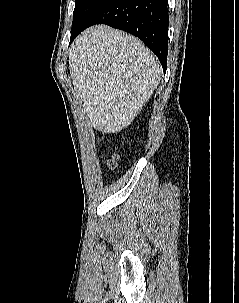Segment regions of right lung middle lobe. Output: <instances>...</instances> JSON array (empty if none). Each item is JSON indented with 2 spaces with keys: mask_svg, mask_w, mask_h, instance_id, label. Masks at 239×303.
<instances>
[{
  "mask_svg": "<svg viewBox=\"0 0 239 303\" xmlns=\"http://www.w3.org/2000/svg\"><path fill=\"white\" fill-rule=\"evenodd\" d=\"M105 1L106 0H76L71 36L83 29L95 10H97Z\"/></svg>",
  "mask_w": 239,
  "mask_h": 303,
  "instance_id": "obj_1",
  "label": "right lung middle lobe"
}]
</instances>
